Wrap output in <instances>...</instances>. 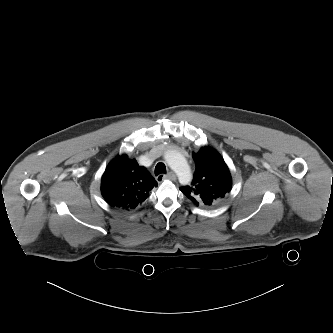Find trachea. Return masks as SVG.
I'll return each mask as SVG.
<instances>
[{
  "instance_id": "trachea-1",
  "label": "trachea",
  "mask_w": 333,
  "mask_h": 333,
  "mask_svg": "<svg viewBox=\"0 0 333 333\" xmlns=\"http://www.w3.org/2000/svg\"><path fill=\"white\" fill-rule=\"evenodd\" d=\"M166 166L164 163H158L155 167V176L159 174H166Z\"/></svg>"
}]
</instances>
